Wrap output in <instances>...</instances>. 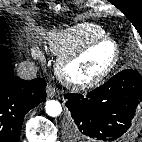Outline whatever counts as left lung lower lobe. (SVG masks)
<instances>
[{"instance_id": "left-lung-lower-lobe-1", "label": "left lung lower lobe", "mask_w": 142, "mask_h": 142, "mask_svg": "<svg viewBox=\"0 0 142 142\" xmlns=\"http://www.w3.org/2000/svg\"><path fill=\"white\" fill-rule=\"evenodd\" d=\"M71 142H124L132 129L136 108L142 101V76L124 70L86 97L68 94Z\"/></svg>"}]
</instances>
